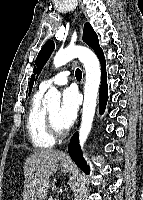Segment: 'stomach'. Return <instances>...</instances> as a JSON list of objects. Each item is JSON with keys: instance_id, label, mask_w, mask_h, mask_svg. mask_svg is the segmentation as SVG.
<instances>
[{"instance_id": "obj_1", "label": "stomach", "mask_w": 143, "mask_h": 200, "mask_svg": "<svg viewBox=\"0 0 143 200\" xmlns=\"http://www.w3.org/2000/svg\"><path fill=\"white\" fill-rule=\"evenodd\" d=\"M61 171L67 173L69 171V166H66L64 163L61 165Z\"/></svg>"}]
</instances>
